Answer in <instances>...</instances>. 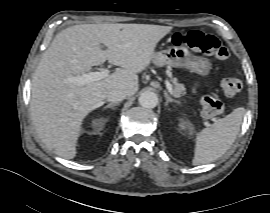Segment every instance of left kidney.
I'll return each mask as SVG.
<instances>
[{
  "mask_svg": "<svg viewBox=\"0 0 270 213\" xmlns=\"http://www.w3.org/2000/svg\"><path fill=\"white\" fill-rule=\"evenodd\" d=\"M179 127H180L181 130L188 131L189 133H191L192 127H191V124L189 122L182 120L179 123Z\"/></svg>",
  "mask_w": 270,
  "mask_h": 213,
  "instance_id": "5707ae66",
  "label": "left kidney"
}]
</instances>
